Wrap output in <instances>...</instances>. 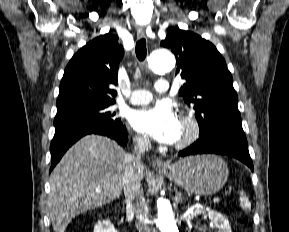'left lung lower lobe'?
I'll return each instance as SVG.
<instances>
[{
    "label": "left lung lower lobe",
    "mask_w": 289,
    "mask_h": 232,
    "mask_svg": "<svg viewBox=\"0 0 289 232\" xmlns=\"http://www.w3.org/2000/svg\"><path fill=\"white\" fill-rule=\"evenodd\" d=\"M196 154H222L232 156L250 167L253 163L249 155L248 144L243 130H221L199 138L188 148L179 152L185 157Z\"/></svg>",
    "instance_id": "obj_1"
}]
</instances>
